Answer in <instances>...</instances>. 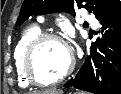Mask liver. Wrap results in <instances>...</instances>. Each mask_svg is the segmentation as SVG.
I'll return each instance as SVG.
<instances>
[{"mask_svg": "<svg viewBox=\"0 0 121 94\" xmlns=\"http://www.w3.org/2000/svg\"><path fill=\"white\" fill-rule=\"evenodd\" d=\"M34 94H61V91H56V90H46L43 92H38Z\"/></svg>", "mask_w": 121, "mask_h": 94, "instance_id": "1", "label": "liver"}]
</instances>
